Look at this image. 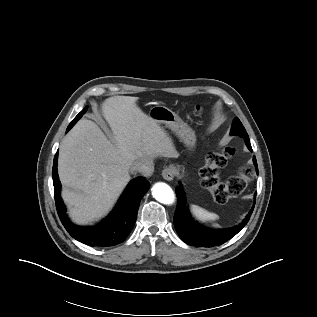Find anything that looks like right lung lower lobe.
I'll return each instance as SVG.
<instances>
[{"mask_svg": "<svg viewBox=\"0 0 317 317\" xmlns=\"http://www.w3.org/2000/svg\"><path fill=\"white\" fill-rule=\"evenodd\" d=\"M57 158L58 151L54 157L52 170L54 196L59 218L68 233L74 239L92 247H108L123 242L133 229L140 201L149 188V182L144 177L133 179L114 210L100 224L94 227L77 226L66 215V207L60 196L61 184L57 173Z\"/></svg>", "mask_w": 317, "mask_h": 317, "instance_id": "right-lung-lower-lobe-1", "label": "right lung lower lobe"}]
</instances>
